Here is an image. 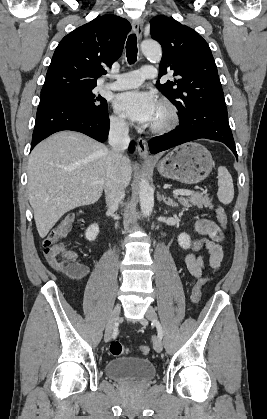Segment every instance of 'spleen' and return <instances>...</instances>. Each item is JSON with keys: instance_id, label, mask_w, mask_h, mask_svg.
Returning <instances> with one entry per match:
<instances>
[{"instance_id": "3e777b00", "label": "spleen", "mask_w": 267, "mask_h": 419, "mask_svg": "<svg viewBox=\"0 0 267 419\" xmlns=\"http://www.w3.org/2000/svg\"><path fill=\"white\" fill-rule=\"evenodd\" d=\"M218 187L217 196L219 201L223 204L231 203L234 198L233 180L224 166L218 168Z\"/></svg>"}]
</instances>
